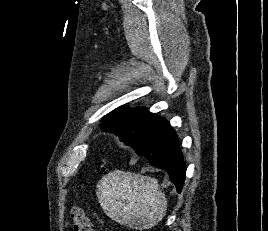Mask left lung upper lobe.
<instances>
[{
    "instance_id": "left-lung-upper-lobe-1",
    "label": "left lung upper lobe",
    "mask_w": 268,
    "mask_h": 231,
    "mask_svg": "<svg viewBox=\"0 0 268 231\" xmlns=\"http://www.w3.org/2000/svg\"><path fill=\"white\" fill-rule=\"evenodd\" d=\"M166 120L146 108L120 107L103 118L101 128L121 138L128 146L150 138Z\"/></svg>"
}]
</instances>
